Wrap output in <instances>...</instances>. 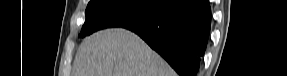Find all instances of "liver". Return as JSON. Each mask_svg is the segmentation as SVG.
Returning <instances> with one entry per match:
<instances>
[{
	"mask_svg": "<svg viewBox=\"0 0 287 76\" xmlns=\"http://www.w3.org/2000/svg\"><path fill=\"white\" fill-rule=\"evenodd\" d=\"M74 76H176L138 35L122 29L94 33L80 44Z\"/></svg>",
	"mask_w": 287,
	"mask_h": 76,
	"instance_id": "1",
	"label": "liver"
}]
</instances>
